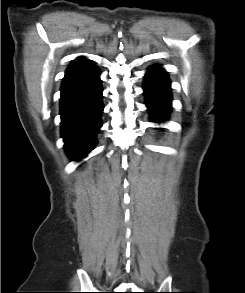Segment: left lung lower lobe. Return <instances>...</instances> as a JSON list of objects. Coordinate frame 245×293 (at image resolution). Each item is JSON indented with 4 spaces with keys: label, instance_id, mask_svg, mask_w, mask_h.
<instances>
[{
    "label": "left lung lower lobe",
    "instance_id": "left-lung-lower-lobe-1",
    "mask_svg": "<svg viewBox=\"0 0 245 293\" xmlns=\"http://www.w3.org/2000/svg\"><path fill=\"white\" fill-rule=\"evenodd\" d=\"M144 94L146 105L154 122L164 120L171 110V88L167 73L155 65L146 73Z\"/></svg>",
    "mask_w": 245,
    "mask_h": 293
}]
</instances>
